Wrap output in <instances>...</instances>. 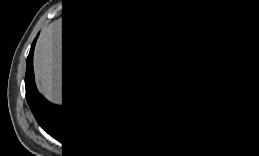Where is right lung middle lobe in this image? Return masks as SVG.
Listing matches in <instances>:
<instances>
[{"label":"right lung middle lobe","instance_id":"obj_1","mask_svg":"<svg viewBox=\"0 0 259 156\" xmlns=\"http://www.w3.org/2000/svg\"><path fill=\"white\" fill-rule=\"evenodd\" d=\"M92 2H98V1H96V0H95V1H93V0H92ZM62 14H63V13H62Z\"/></svg>","mask_w":259,"mask_h":156}]
</instances>
